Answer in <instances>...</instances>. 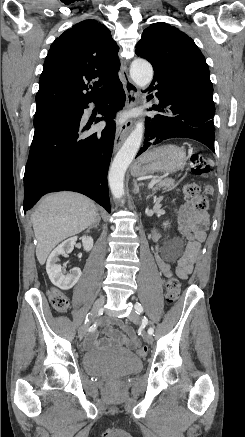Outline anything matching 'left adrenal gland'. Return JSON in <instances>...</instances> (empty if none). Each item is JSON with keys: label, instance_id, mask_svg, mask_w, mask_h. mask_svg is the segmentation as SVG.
<instances>
[{"label": "left adrenal gland", "instance_id": "1", "mask_svg": "<svg viewBox=\"0 0 245 437\" xmlns=\"http://www.w3.org/2000/svg\"><path fill=\"white\" fill-rule=\"evenodd\" d=\"M134 189H133V193L134 194H139V190H140V187L142 186V183H137L135 180H134Z\"/></svg>", "mask_w": 245, "mask_h": 437}]
</instances>
